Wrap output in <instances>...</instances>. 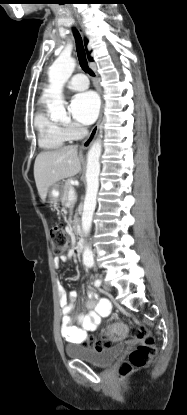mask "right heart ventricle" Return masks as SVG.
I'll list each match as a JSON object with an SVG mask.
<instances>
[{"mask_svg":"<svg viewBox=\"0 0 187 415\" xmlns=\"http://www.w3.org/2000/svg\"><path fill=\"white\" fill-rule=\"evenodd\" d=\"M34 124L39 145L44 149H58L70 140L63 126L52 120L43 109L36 113Z\"/></svg>","mask_w":187,"mask_h":415,"instance_id":"right-heart-ventricle-1","label":"right heart ventricle"}]
</instances>
